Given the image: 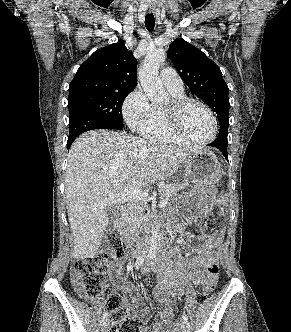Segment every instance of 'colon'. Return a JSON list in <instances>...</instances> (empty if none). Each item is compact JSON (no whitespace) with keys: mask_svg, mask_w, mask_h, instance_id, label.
I'll list each match as a JSON object with an SVG mask.
<instances>
[{"mask_svg":"<svg viewBox=\"0 0 291 332\" xmlns=\"http://www.w3.org/2000/svg\"><path fill=\"white\" fill-rule=\"evenodd\" d=\"M108 246L94 257L75 262L71 282L83 297L98 302L106 299V309L112 322L110 332H142V326L129 317V307L122 293L109 294L105 286L109 279V265L126 255L127 246L123 239L114 233L107 235ZM218 281V267H214L210 277L202 287L203 295H209Z\"/></svg>","mask_w":291,"mask_h":332,"instance_id":"obj_1","label":"colon"}]
</instances>
